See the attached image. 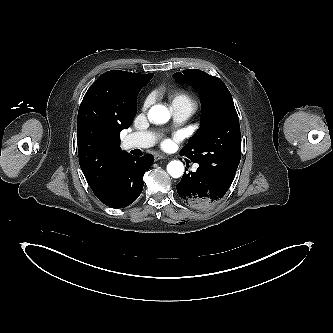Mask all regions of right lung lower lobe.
<instances>
[{"label":"right lung lower lobe","instance_id":"right-lung-lower-lobe-1","mask_svg":"<svg viewBox=\"0 0 333 333\" xmlns=\"http://www.w3.org/2000/svg\"><path fill=\"white\" fill-rule=\"evenodd\" d=\"M152 163L153 159L149 154L143 157L127 154L120 161L109 189L97 198L112 208L127 207L141 194L144 173Z\"/></svg>","mask_w":333,"mask_h":333}]
</instances>
